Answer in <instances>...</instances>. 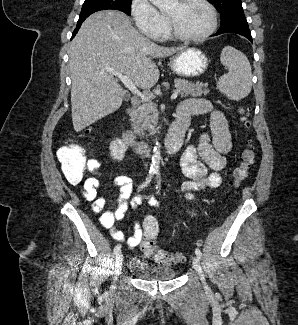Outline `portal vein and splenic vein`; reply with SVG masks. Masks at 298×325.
Returning a JSON list of instances; mask_svg holds the SVG:
<instances>
[{"mask_svg":"<svg viewBox=\"0 0 298 325\" xmlns=\"http://www.w3.org/2000/svg\"><path fill=\"white\" fill-rule=\"evenodd\" d=\"M113 74H115V76H118V78H120L121 82H123V84H125V86H127V88H129V90H131V92H134V94H137V96H140V98H142V100H144V102H151L150 98L151 96H146V94H143V92H141V90H139V88H137V86H135V84H133L130 76H127V74H120V72H113ZM179 94V88H176V90H174V92H172L170 98L171 100H174V98H177Z\"/></svg>","mask_w":298,"mask_h":325,"instance_id":"obj_1","label":"portal vein and splenic vein"}]
</instances>
